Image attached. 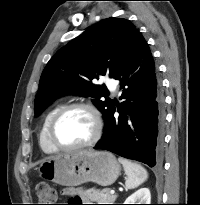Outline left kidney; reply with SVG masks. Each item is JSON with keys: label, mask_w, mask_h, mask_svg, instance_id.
<instances>
[{"label": "left kidney", "mask_w": 200, "mask_h": 205, "mask_svg": "<svg viewBox=\"0 0 200 205\" xmlns=\"http://www.w3.org/2000/svg\"><path fill=\"white\" fill-rule=\"evenodd\" d=\"M124 204H151V194L148 188H140L129 196Z\"/></svg>", "instance_id": "left-kidney-1"}]
</instances>
